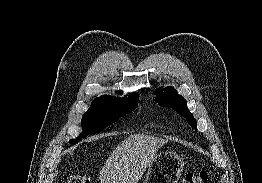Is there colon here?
Masks as SVG:
<instances>
[{"label":"colon","instance_id":"5ec220e1","mask_svg":"<svg viewBox=\"0 0 262 183\" xmlns=\"http://www.w3.org/2000/svg\"><path fill=\"white\" fill-rule=\"evenodd\" d=\"M208 179V174L205 171L187 173L181 183H205ZM66 183H91V181L81 175H74L68 178Z\"/></svg>","mask_w":262,"mask_h":183}]
</instances>
